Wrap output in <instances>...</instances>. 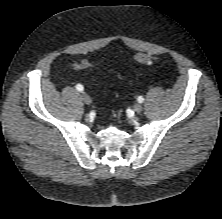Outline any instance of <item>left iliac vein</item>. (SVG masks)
Segmentation results:
<instances>
[{
  "instance_id": "4c4485c4",
  "label": "left iliac vein",
  "mask_w": 222,
  "mask_h": 219,
  "mask_svg": "<svg viewBox=\"0 0 222 219\" xmlns=\"http://www.w3.org/2000/svg\"><path fill=\"white\" fill-rule=\"evenodd\" d=\"M133 110H134L135 113L138 114V113H140V112L143 110V107H142L141 104L137 103V104H135V105L133 106Z\"/></svg>"
}]
</instances>
